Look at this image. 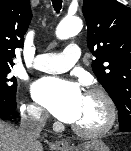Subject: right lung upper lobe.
<instances>
[{"instance_id": "obj_1", "label": "right lung upper lobe", "mask_w": 131, "mask_h": 151, "mask_svg": "<svg viewBox=\"0 0 131 151\" xmlns=\"http://www.w3.org/2000/svg\"><path fill=\"white\" fill-rule=\"evenodd\" d=\"M31 18L29 0H0V66H13Z\"/></svg>"}]
</instances>
